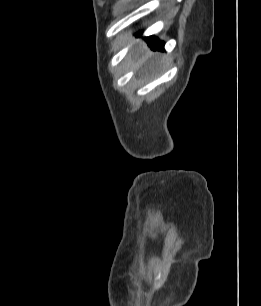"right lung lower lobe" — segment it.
Returning a JSON list of instances; mask_svg holds the SVG:
<instances>
[{
	"instance_id": "98d812e1",
	"label": "right lung lower lobe",
	"mask_w": 261,
	"mask_h": 306,
	"mask_svg": "<svg viewBox=\"0 0 261 306\" xmlns=\"http://www.w3.org/2000/svg\"><path fill=\"white\" fill-rule=\"evenodd\" d=\"M149 45L152 47L154 50H162L164 47V43L158 41L155 37L151 36L148 39Z\"/></svg>"
}]
</instances>
